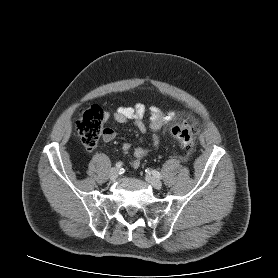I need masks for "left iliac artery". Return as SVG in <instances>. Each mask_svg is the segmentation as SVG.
Instances as JSON below:
<instances>
[{
	"mask_svg": "<svg viewBox=\"0 0 278 278\" xmlns=\"http://www.w3.org/2000/svg\"><path fill=\"white\" fill-rule=\"evenodd\" d=\"M151 173L153 174V176H155L158 179L162 178L161 174L156 170H151Z\"/></svg>",
	"mask_w": 278,
	"mask_h": 278,
	"instance_id": "1",
	"label": "left iliac artery"
}]
</instances>
